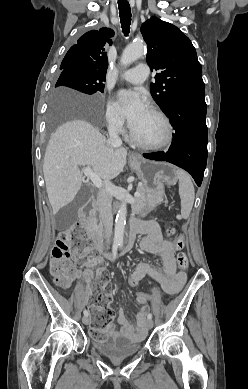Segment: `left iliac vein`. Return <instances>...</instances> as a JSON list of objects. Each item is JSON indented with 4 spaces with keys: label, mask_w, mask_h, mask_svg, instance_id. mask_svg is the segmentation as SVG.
<instances>
[{
    "label": "left iliac vein",
    "mask_w": 248,
    "mask_h": 389,
    "mask_svg": "<svg viewBox=\"0 0 248 389\" xmlns=\"http://www.w3.org/2000/svg\"><path fill=\"white\" fill-rule=\"evenodd\" d=\"M147 327H148L149 329H151V328L153 327V321H152L151 319H149V320L147 321Z\"/></svg>",
    "instance_id": "4c4485c4"
}]
</instances>
